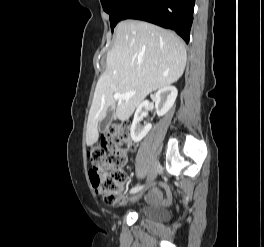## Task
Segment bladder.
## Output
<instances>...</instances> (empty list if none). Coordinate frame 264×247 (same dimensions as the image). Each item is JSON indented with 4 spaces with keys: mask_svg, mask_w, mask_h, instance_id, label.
Wrapping results in <instances>:
<instances>
[{
    "mask_svg": "<svg viewBox=\"0 0 264 247\" xmlns=\"http://www.w3.org/2000/svg\"><path fill=\"white\" fill-rule=\"evenodd\" d=\"M140 214L143 218L156 223L166 222L170 218V213L167 210L156 206H146Z\"/></svg>",
    "mask_w": 264,
    "mask_h": 247,
    "instance_id": "obj_1",
    "label": "bladder"
}]
</instances>
